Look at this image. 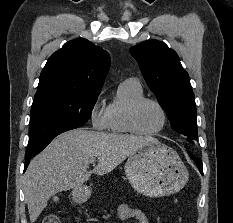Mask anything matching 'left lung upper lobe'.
Returning a JSON list of instances; mask_svg holds the SVG:
<instances>
[{"instance_id": "obj_1", "label": "left lung upper lobe", "mask_w": 233, "mask_h": 223, "mask_svg": "<svg viewBox=\"0 0 233 223\" xmlns=\"http://www.w3.org/2000/svg\"><path fill=\"white\" fill-rule=\"evenodd\" d=\"M130 53L167 113L172 129L188 136L187 141L193 143L198 135L194 93L177 53L157 40L133 46Z\"/></svg>"}]
</instances>
